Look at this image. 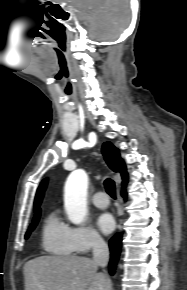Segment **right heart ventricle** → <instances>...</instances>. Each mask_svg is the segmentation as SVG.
I'll return each mask as SVG.
<instances>
[{
  "label": "right heart ventricle",
  "instance_id": "1",
  "mask_svg": "<svg viewBox=\"0 0 187 290\" xmlns=\"http://www.w3.org/2000/svg\"><path fill=\"white\" fill-rule=\"evenodd\" d=\"M42 246L46 252L57 256H71L75 252L71 228L61 220L56 211L50 212L44 221Z\"/></svg>",
  "mask_w": 187,
  "mask_h": 290
}]
</instances>
